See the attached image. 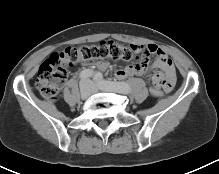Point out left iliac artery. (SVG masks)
Segmentation results:
<instances>
[{
  "mask_svg": "<svg viewBox=\"0 0 219 174\" xmlns=\"http://www.w3.org/2000/svg\"><path fill=\"white\" fill-rule=\"evenodd\" d=\"M94 81L101 87L110 88L118 93L128 94L131 92L130 86L125 82L107 81L100 72L94 75Z\"/></svg>",
  "mask_w": 219,
  "mask_h": 174,
  "instance_id": "left-iliac-artery-1",
  "label": "left iliac artery"
}]
</instances>
